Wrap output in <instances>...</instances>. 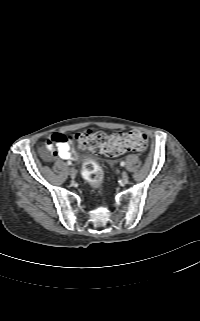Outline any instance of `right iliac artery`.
I'll return each instance as SVG.
<instances>
[{
    "label": "right iliac artery",
    "mask_w": 200,
    "mask_h": 321,
    "mask_svg": "<svg viewBox=\"0 0 200 321\" xmlns=\"http://www.w3.org/2000/svg\"><path fill=\"white\" fill-rule=\"evenodd\" d=\"M72 163H71V161H67V165H71Z\"/></svg>",
    "instance_id": "1"
}]
</instances>
